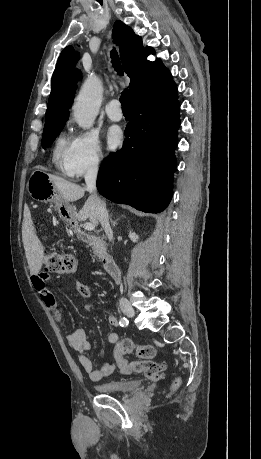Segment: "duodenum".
<instances>
[{
  "mask_svg": "<svg viewBox=\"0 0 261 459\" xmlns=\"http://www.w3.org/2000/svg\"><path fill=\"white\" fill-rule=\"evenodd\" d=\"M73 230L76 233V235L83 241H88L90 239V237L84 232H82L78 227L74 226ZM102 264L105 271L111 278L115 280L119 278L120 270L112 256L108 254L104 255L102 258Z\"/></svg>",
  "mask_w": 261,
  "mask_h": 459,
  "instance_id": "1",
  "label": "duodenum"
}]
</instances>
